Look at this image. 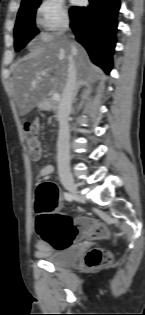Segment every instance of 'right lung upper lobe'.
Returning <instances> with one entry per match:
<instances>
[{
    "label": "right lung upper lobe",
    "instance_id": "1",
    "mask_svg": "<svg viewBox=\"0 0 145 315\" xmlns=\"http://www.w3.org/2000/svg\"><path fill=\"white\" fill-rule=\"evenodd\" d=\"M30 1H33V0H22V3L21 4H25V3H28Z\"/></svg>",
    "mask_w": 145,
    "mask_h": 315
}]
</instances>
